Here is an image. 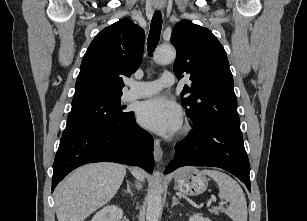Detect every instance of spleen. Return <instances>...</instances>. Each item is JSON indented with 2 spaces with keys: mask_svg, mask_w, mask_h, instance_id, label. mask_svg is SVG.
<instances>
[{
  "mask_svg": "<svg viewBox=\"0 0 307 221\" xmlns=\"http://www.w3.org/2000/svg\"><path fill=\"white\" fill-rule=\"evenodd\" d=\"M202 173L210 176L217 182L219 197L230 203L225 213L233 221H247V203L240 185L224 172L206 169Z\"/></svg>",
  "mask_w": 307,
  "mask_h": 221,
  "instance_id": "3e777b00",
  "label": "spleen"
}]
</instances>
